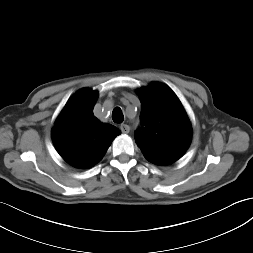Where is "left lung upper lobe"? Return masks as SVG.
<instances>
[{"label": "left lung upper lobe", "instance_id": "1", "mask_svg": "<svg viewBox=\"0 0 253 253\" xmlns=\"http://www.w3.org/2000/svg\"><path fill=\"white\" fill-rule=\"evenodd\" d=\"M141 120L146 129L136 131L135 141L145 158L157 165H169L187 150L192 129L177 96L166 85L153 82L138 90Z\"/></svg>", "mask_w": 253, "mask_h": 253}]
</instances>
